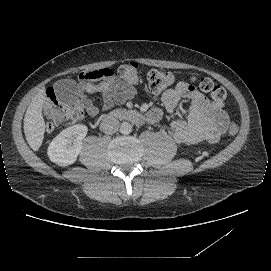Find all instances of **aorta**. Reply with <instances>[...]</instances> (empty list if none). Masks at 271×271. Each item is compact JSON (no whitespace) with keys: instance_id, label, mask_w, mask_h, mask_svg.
<instances>
[{"instance_id":"aorta-1","label":"aorta","mask_w":271,"mask_h":271,"mask_svg":"<svg viewBox=\"0 0 271 271\" xmlns=\"http://www.w3.org/2000/svg\"><path fill=\"white\" fill-rule=\"evenodd\" d=\"M120 133L128 135L132 132V125L129 122H123L119 127Z\"/></svg>"}]
</instances>
